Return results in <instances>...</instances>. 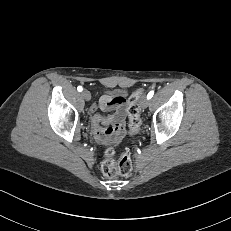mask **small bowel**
Segmentation results:
<instances>
[{
    "label": "small bowel",
    "mask_w": 231,
    "mask_h": 231,
    "mask_svg": "<svg viewBox=\"0 0 231 231\" xmlns=\"http://www.w3.org/2000/svg\"><path fill=\"white\" fill-rule=\"evenodd\" d=\"M100 108L104 111L115 109L116 112L106 118L94 114L91 119L92 129L96 140L104 144H116L124 136V117L127 109V100L121 92L103 95L100 99ZM97 107L93 106L94 113Z\"/></svg>",
    "instance_id": "c3829d8e"
}]
</instances>
